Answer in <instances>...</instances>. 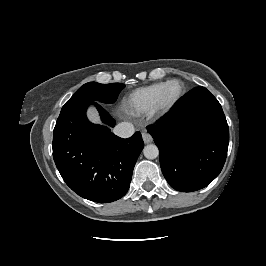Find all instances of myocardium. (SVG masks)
I'll return each instance as SVG.
<instances>
[{
  "mask_svg": "<svg viewBox=\"0 0 266 266\" xmlns=\"http://www.w3.org/2000/svg\"><path fill=\"white\" fill-rule=\"evenodd\" d=\"M173 83H177L179 85L180 91H179L178 95L172 101L166 102L164 100L166 90ZM184 92H185V88H184V84L181 80L171 79V80H168L167 82H165V84H164V86H163V88L160 91V94L158 96L157 103H156V106L154 109V114L157 116H162V115L166 114L167 112H169L180 101V99L184 95Z\"/></svg>",
  "mask_w": 266,
  "mask_h": 266,
  "instance_id": "obj_1",
  "label": "myocardium"
}]
</instances>
